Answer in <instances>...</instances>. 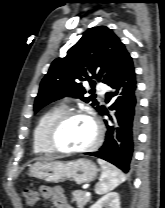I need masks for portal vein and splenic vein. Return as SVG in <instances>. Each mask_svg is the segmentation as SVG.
Wrapping results in <instances>:
<instances>
[{"instance_id":"portal-vein-and-splenic-vein-1","label":"portal vein and splenic vein","mask_w":165,"mask_h":208,"mask_svg":"<svg viewBox=\"0 0 165 208\" xmlns=\"http://www.w3.org/2000/svg\"><path fill=\"white\" fill-rule=\"evenodd\" d=\"M85 195L89 197L91 194L90 192H85Z\"/></svg>"}]
</instances>
